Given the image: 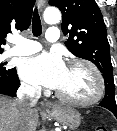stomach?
Listing matches in <instances>:
<instances>
[{
    "instance_id": "obj_1",
    "label": "stomach",
    "mask_w": 117,
    "mask_h": 131,
    "mask_svg": "<svg viewBox=\"0 0 117 131\" xmlns=\"http://www.w3.org/2000/svg\"><path fill=\"white\" fill-rule=\"evenodd\" d=\"M47 115L60 124L68 126L70 130L76 129L81 123L79 112L69 106H56L51 111H48Z\"/></svg>"
}]
</instances>
